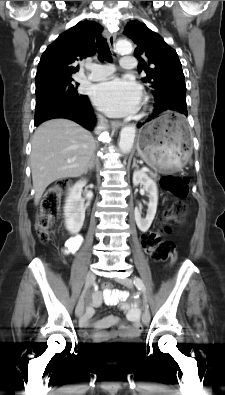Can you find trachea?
I'll list each match as a JSON object with an SVG mask.
<instances>
[{
    "label": "trachea",
    "mask_w": 225,
    "mask_h": 395,
    "mask_svg": "<svg viewBox=\"0 0 225 395\" xmlns=\"http://www.w3.org/2000/svg\"><path fill=\"white\" fill-rule=\"evenodd\" d=\"M98 58L100 61H111V53L107 41L100 35H97Z\"/></svg>",
    "instance_id": "1"
}]
</instances>
